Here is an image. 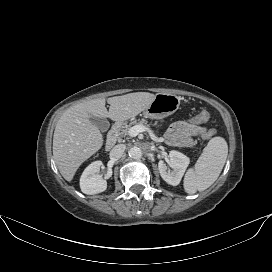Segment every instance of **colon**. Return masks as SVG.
Returning a JSON list of instances; mask_svg holds the SVG:
<instances>
[{"label":"colon","instance_id":"1","mask_svg":"<svg viewBox=\"0 0 272 272\" xmlns=\"http://www.w3.org/2000/svg\"><path fill=\"white\" fill-rule=\"evenodd\" d=\"M209 119V114L207 111H200L197 115L194 116L193 122L195 123H204ZM215 134V131L212 129L205 130L203 133L204 139H209Z\"/></svg>","mask_w":272,"mask_h":272}]
</instances>
